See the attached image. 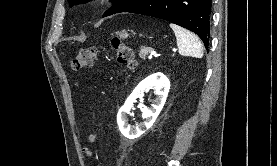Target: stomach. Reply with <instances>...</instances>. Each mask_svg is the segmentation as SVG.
<instances>
[{"mask_svg": "<svg viewBox=\"0 0 277 166\" xmlns=\"http://www.w3.org/2000/svg\"><path fill=\"white\" fill-rule=\"evenodd\" d=\"M117 35L120 39H126L129 37V33L126 30H122L121 32H118Z\"/></svg>", "mask_w": 277, "mask_h": 166, "instance_id": "1", "label": "stomach"}]
</instances>
